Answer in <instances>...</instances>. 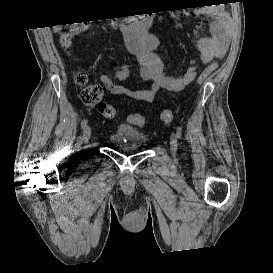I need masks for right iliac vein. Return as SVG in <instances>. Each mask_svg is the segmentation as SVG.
Segmentation results:
<instances>
[{
	"instance_id": "1",
	"label": "right iliac vein",
	"mask_w": 273,
	"mask_h": 273,
	"mask_svg": "<svg viewBox=\"0 0 273 273\" xmlns=\"http://www.w3.org/2000/svg\"><path fill=\"white\" fill-rule=\"evenodd\" d=\"M83 136H84V141H85V142H88V140L90 139V136H91V128H90L89 125H87V126L84 128Z\"/></svg>"
}]
</instances>
